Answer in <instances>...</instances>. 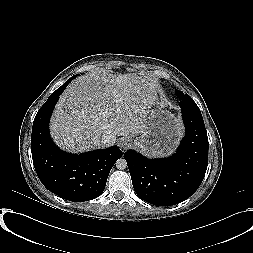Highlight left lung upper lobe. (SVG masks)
<instances>
[{"label": "left lung upper lobe", "mask_w": 253, "mask_h": 253, "mask_svg": "<svg viewBox=\"0 0 253 253\" xmlns=\"http://www.w3.org/2000/svg\"><path fill=\"white\" fill-rule=\"evenodd\" d=\"M177 95L180 96L181 99L186 100V101H190V102H194L193 99L188 95V94H184L181 91L177 90Z\"/></svg>", "instance_id": "5c2ea615"}]
</instances>
